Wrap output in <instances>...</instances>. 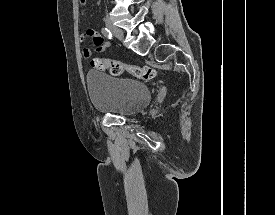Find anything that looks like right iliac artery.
<instances>
[{
	"mask_svg": "<svg viewBox=\"0 0 275 215\" xmlns=\"http://www.w3.org/2000/svg\"><path fill=\"white\" fill-rule=\"evenodd\" d=\"M102 34L107 37L108 39H112V33L107 28H102Z\"/></svg>",
	"mask_w": 275,
	"mask_h": 215,
	"instance_id": "82829eb1",
	"label": "right iliac artery"
}]
</instances>
